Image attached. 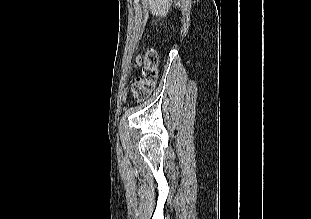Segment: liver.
Listing matches in <instances>:
<instances>
[{"instance_id": "liver-1", "label": "liver", "mask_w": 311, "mask_h": 219, "mask_svg": "<svg viewBox=\"0 0 311 219\" xmlns=\"http://www.w3.org/2000/svg\"><path fill=\"white\" fill-rule=\"evenodd\" d=\"M143 3L152 11L153 16L160 18L166 17L171 6L170 0H143Z\"/></svg>"}]
</instances>
